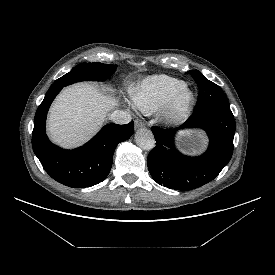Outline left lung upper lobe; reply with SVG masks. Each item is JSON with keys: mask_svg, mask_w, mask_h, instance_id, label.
Instances as JSON below:
<instances>
[{"mask_svg": "<svg viewBox=\"0 0 275 275\" xmlns=\"http://www.w3.org/2000/svg\"><path fill=\"white\" fill-rule=\"evenodd\" d=\"M192 75L198 84L199 100L197 109L206 110H230L229 102L222 89L215 83L205 78L198 70H191Z\"/></svg>", "mask_w": 275, "mask_h": 275, "instance_id": "obj_1", "label": "left lung upper lobe"}]
</instances>
